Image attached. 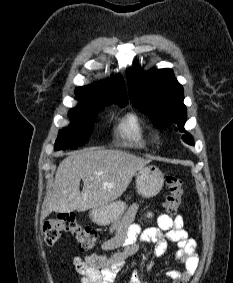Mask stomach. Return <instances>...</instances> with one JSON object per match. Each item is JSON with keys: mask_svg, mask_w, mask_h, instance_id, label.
<instances>
[{"mask_svg": "<svg viewBox=\"0 0 233 283\" xmlns=\"http://www.w3.org/2000/svg\"><path fill=\"white\" fill-rule=\"evenodd\" d=\"M164 184L163 173L153 165L140 168L136 173L137 192L144 198L156 196ZM126 210V204L115 201L108 205L93 208L90 211L91 219L98 225H109L122 216Z\"/></svg>", "mask_w": 233, "mask_h": 283, "instance_id": "obj_1", "label": "stomach"}]
</instances>
